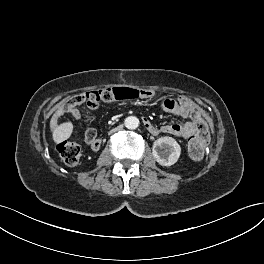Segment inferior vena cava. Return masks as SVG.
Here are the masks:
<instances>
[{"mask_svg":"<svg viewBox=\"0 0 264 264\" xmlns=\"http://www.w3.org/2000/svg\"><path fill=\"white\" fill-rule=\"evenodd\" d=\"M122 130H124V124H119L118 126L109 129V134H115Z\"/></svg>","mask_w":264,"mask_h":264,"instance_id":"602c4592","label":"inferior vena cava"}]
</instances>
